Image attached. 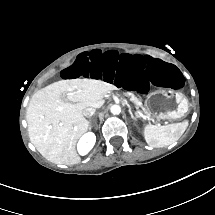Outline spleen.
<instances>
[{
    "label": "spleen",
    "mask_w": 215,
    "mask_h": 215,
    "mask_svg": "<svg viewBox=\"0 0 215 215\" xmlns=\"http://www.w3.org/2000/svg\"><path fill=\"white\" fill-rule=\"evenodd\" d=\"M185 122L186 120L166 126L149 124L145 130L147 143L153 147H165L172 144L181 136L179 132L182 130Z\"/></svg>",
    "instance_id": "1"
}]
</instances>
